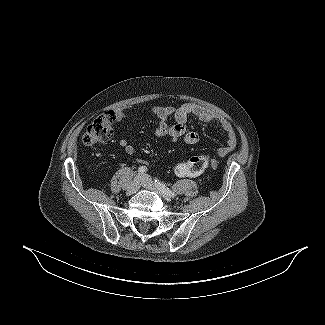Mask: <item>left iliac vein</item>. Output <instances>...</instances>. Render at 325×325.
Instances as JSON below:
<instances>
[{
  "label": "left iliac vein",
  "instance_id": "4c4485c4",
  "mask_svg": "<svg viewBox=\"0 0 325 325\" xmlns=\"http://www.w3.org/2000/svg\"><path fill=\"white\" fill-rule=\"evenodd\" d=\"M141 185L146 188V189H149V190H152V191H155L157 192L160 196L166 198V199H170L171 196H167L165 194H163L158 188L157 186L152 182L151 178L149 175L147 174H143L141 176Z\"/></svg>",
  "mask_w": 325,
  "mask_h": 325
}]
</instances>
